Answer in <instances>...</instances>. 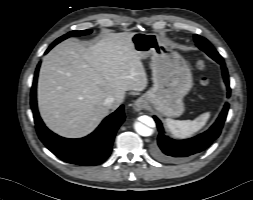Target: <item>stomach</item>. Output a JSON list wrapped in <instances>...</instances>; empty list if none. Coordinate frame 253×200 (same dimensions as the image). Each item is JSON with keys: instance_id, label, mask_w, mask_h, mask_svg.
Masks as SVG:
<instances>
[{"instance_id": "stomach-1", "label": "stomach", "mask_w": 253, "mask_h": 200, "mask_svg": "<svg viewBox=\"0 0 253 200\" xmlns=\"http://www.w3.org/2000/svg\"><path fill=\"white\" fill-rule=\"evenodd\" d=\"M131 42L141 60L151 58L153 86L143 98L163 116H180L193 85L187 62L157 34L137 32Z\"/></svg>"}]
</instances>
